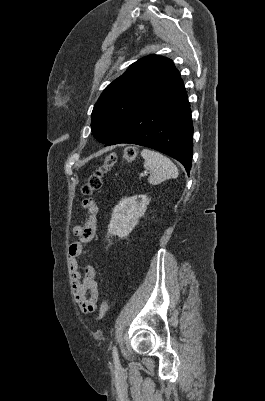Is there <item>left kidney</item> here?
<instances>
[{"instance_id": "obj_1", "label": "left kidney", "mask_w": 265, "mask_h": 401, "mask_svg": "<svg viewBox=\"0 0 265 401\" xmlns=\"http://www.w3.org/2000/svg\"><path fill=\"white\" fill-rule=\"evenodd\" d=\"M150 198L147 194H134L121 198L119 205L113 209L108 233L111 237L117 235L120 239L128 237L134 227L138 225L140 217H143Z\"/></svg>"}]
</instances>
